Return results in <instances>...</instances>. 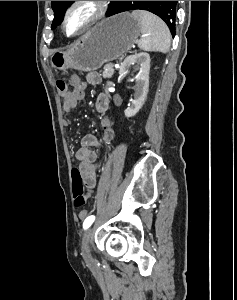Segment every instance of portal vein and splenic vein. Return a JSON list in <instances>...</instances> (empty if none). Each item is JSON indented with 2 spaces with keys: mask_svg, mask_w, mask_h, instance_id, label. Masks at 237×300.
<instances>
[{
  "mask_svg": "<svg viewBox=\"0 0 237 300\" xmlns=\"http://www.w3.org/2000/svg\"><path fill=\"white\" fill-rule=\"evenodd\" d=\"M109 64H110V65H109L108 67L111 69V68L113 67V66L111 65L112 63L110 62Z\"/></svg>",
  "mask_w": 237,
  "mask_h": 300,
  "instance_id": "obj_1",
  "label": "portal vein and splenic vein"
}]
</instances>
